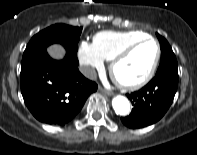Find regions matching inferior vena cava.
<instances>
[{
    "mask_svg": "<svg viewBox=\"0 0 197 155\" xmlns=\"http://www.w3.org/2000/svg\"><path fill=\"white\" fill-rule=\"evenodd\" d=\"M80 72L88 79L95 80L97 78L96 70L91 66H81Z\"/></svg>",
    "mask_w": 197,
    "mask_h": 155,
    "instance_id": "obj_1",
    "label": "inferior vena cava"
}]
</instances>
